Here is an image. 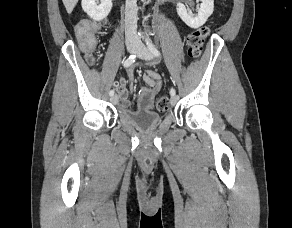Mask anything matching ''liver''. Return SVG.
Returning a JSON list of instances; mask_svg holds the SVG:
<instances>
[{"instance_id": "1", "label": "liver", "mask_w": 292, "mask_h": 228, "mask_svg": "<svg viewBox=\"0 0 292 228\" xmlns=\"http://www.w3.org/2000/svg\"><path fill=\"white\" fill-rule=\"evenodd\" d=\"M78 1L79 0H62L68 14L72 13Z\"/></svg>"}]
</instances>
